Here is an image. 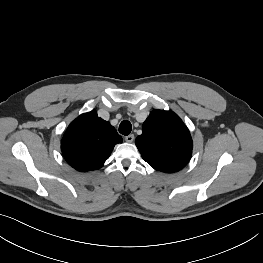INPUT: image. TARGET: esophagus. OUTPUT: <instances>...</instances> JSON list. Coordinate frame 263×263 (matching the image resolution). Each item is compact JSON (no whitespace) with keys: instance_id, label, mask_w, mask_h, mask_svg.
<instances>
[{"instance_id":"esophagus-1","label":"esophagus","mask_w":263,"mask_h":263,"mask_svg":"<svg viewBox=\"0 0 263 263\" xmlns=\"http://www.w3.org/2000/svg\"><path fill=\"white\" fill-rule=\"evenodd\" d=\"M133 140H134V135L133 134H130V135L125 137V141L128 142V143L133 142Z\"/></svg>"}]
</instances>
